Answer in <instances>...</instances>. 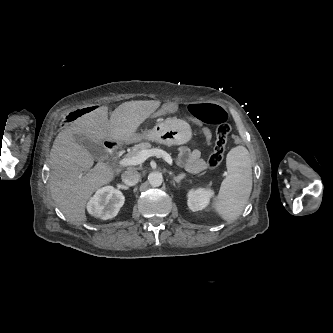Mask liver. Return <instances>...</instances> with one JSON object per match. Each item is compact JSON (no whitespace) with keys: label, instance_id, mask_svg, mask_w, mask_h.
Segmentation results:
<instances>
[{"label":"liver","instance_id":"1","mask_svg":"<svg viewBox=\"0 0 333 333\" xmlns=\"http://www.w3.org/2000/svg\"><path fill=\"white\" fill-rule=\"evenodd\" d=\"M160 101H130L119 105L108 120V107L88 112L59 132L51 153L49 188L52 199L66 219L81 225L86 221L85 207L95 190L113 180V170L102 162L94 168V158L74 135L90 137L101 143L105 138L130 141L137 128L160 106Z\"/></svg>","mask_w":333,"mask_h":333}]
</instances>
